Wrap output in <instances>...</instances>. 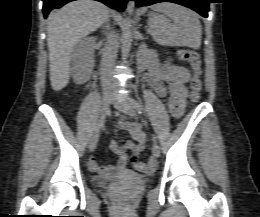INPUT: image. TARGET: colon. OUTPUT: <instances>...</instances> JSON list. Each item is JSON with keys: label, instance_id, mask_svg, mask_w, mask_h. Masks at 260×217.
<instances>
[{"label": "colon", "instance_id": "5ec220e1", "mask_svg": "<svg viewBox=\"0 0 260 217\" xmlns=\"http://www.w3.org/2000/svg\"><path fill=\"white\" fill-rule=\"evenodd\" d=\"M178 57L181 61L189 63L192 71L193 77L191 80V95L190 99L192 103H196L200 97V91L202 87L201 83V58L196 51L183 50L178 53ZM134 168L138 172H147L149 170L148 166L142 162H135Z\"/></svg>", "mask_w": 260, "mask_h": 217}]
</instances>
